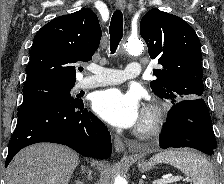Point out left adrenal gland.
I'll return each instance as SVG.
<instances>
[{
	"mask_svg": "<svg viewBox=\"0 0 224 184\" xmlns=\"http://www.w3.org/2000/svg\"><path fill=\"white\" fill-rule=\"evenodd\" d=\"M139 184H144L143 179H140V180H139Z\"/></svg>",
	"mask_w": 224,
	"mask_h": 184,
	"instance_id": "a2214340",
	"label": "left adrenal gland"
}]
</instances>
